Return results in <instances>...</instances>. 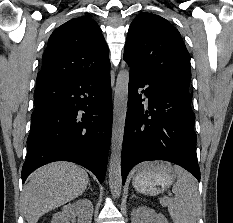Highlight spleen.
<instances>
[{"label":"spleen","mask_w":233,"mask_h":223,"mask_svg":"<svg viewBox=\"0 0 233 223\" xmlns=\"http://www.w3.org/2000/svg\"><path fill=\"white\" fill-rule=\"evenodd\" d=\"M178 179L172 187L175 197H160L161 205H167L174 223H196L201 209L200 195L191 173L176 167Z\"/></svg>","instance_id":"1"}]
</instances>
